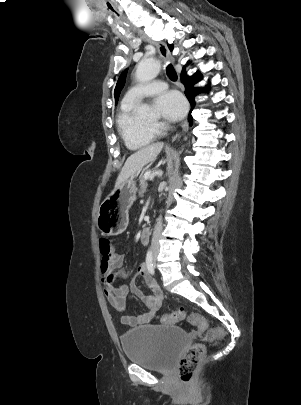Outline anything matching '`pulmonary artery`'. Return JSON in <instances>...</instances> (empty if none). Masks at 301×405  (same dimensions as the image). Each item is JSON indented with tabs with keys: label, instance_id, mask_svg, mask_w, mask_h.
<instances>
[{
	"label": "pulmonary artery",
	"instance_id": "e3ab8cb5",
	"mask_svg": "<svg viewBox=\"0 0 301 405\" xmlns=\"http://www.w3.org/2000/svg\"><path fill=\"white\" fill-rule=\"evenodd\" d=\"M167 89V84L161 80H155L132 87L124 96L125 102L136 103L146 96L155 95Z\"/></svg>",
	"mask_w": 301,
	"mask_h": 405
}]
</instances>
